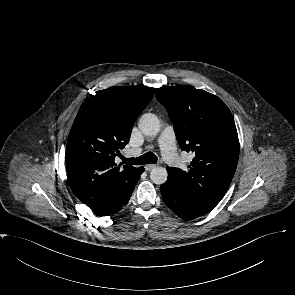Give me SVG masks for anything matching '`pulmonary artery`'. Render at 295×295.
<instances>
[{
  "instance_id": "obj_1",
  "label": "pulmonary artery",
  "mask_w": 295,
  "mask_h": 295,
  "mask_svg": "<svg viewBox=\"0 0 295 295\" xmlns=\"http://www.w3.org/2000/svg\"><path fill=\"white\" fill-rule=\"evenodd\" d=\"M158 143L163 158L171 165L175 164L179 159L176 151L175 133L172 127L167 126L161 132Z\"/></svg>"
}]
</instances>
